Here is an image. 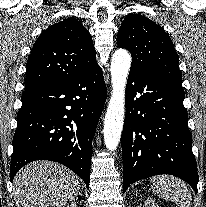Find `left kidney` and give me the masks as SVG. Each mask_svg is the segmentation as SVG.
Wrapping results in <instances>:
<instances>
[{"label":"left kidney","mask_w":206,"mask_h":207,"mask_svg":"<svg viewBox=\"0 0 206 207\" xmlns=\"http://www.w3.org/2000/svg\"><path fill=\"white\" fill-rule=\"evenodd\" d=\"M143 207H160L153 198H147Z\"/></svg>","instance_id":"1"}]
</instances>
